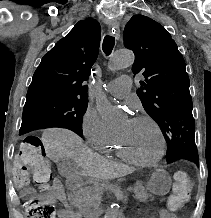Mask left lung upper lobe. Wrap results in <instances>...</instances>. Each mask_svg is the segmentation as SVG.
Returning a JSON list of instances; mask_svg holds the SVG:
<instances>
[{"label": "left lung upper lobe", "instance_id": "obj_1", "mask_svg": "<svg viewBox=\"0 0 211 218\" xmlns=\"http://www.w3.org/2000/svg\"><path fill=\"white\" fill-rule=\"evenodd\" d=\"M124 45L135 54L134 75L145 78L137 95L161 128L167 162L187 159L198 164L189 77L175 41L161 24L138 14L125 26Z\"/></svg>", "mask_w": 211, "mask_h": 218}]
</instances>
